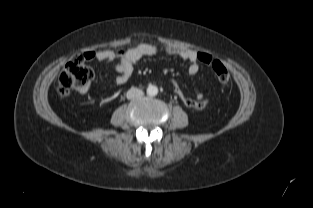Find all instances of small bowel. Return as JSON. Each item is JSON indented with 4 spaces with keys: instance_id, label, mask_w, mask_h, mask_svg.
I'll return each instance as SVG.
<instances>
[{
    "instance_id": "c3829d8e",
    "label": "small bowel",
    "mask_w": 313,
    "mask_h": 208,
    "mask_svg": "<svg viewBox=\"0 0 313 208\" xmlns=\"http://www.w3.org/2000/svg\"><path fill=\"white\" fill-rule=\"evenodd\" d=\"M163 51L169 56H177L187 62H189L188 73L191 76L196 75L200 69V61L198 59V52L184 48L176 47L172 45H167L160 49L159 47L148 44L141 43L135 47L128 48L121 51L112 50H100L96 52H87L85 55L88 59H96L97 61L113 63L115 60L118 62L114 65V69L118 72V76L115 80L116 85H122L126 83L132 75L134 65L144 57L154 56ZM87 87L82 89V92L87 91ZM196 100H205L203 95L200 93L197 95Z\"/></svg>"
}]
</instances>
